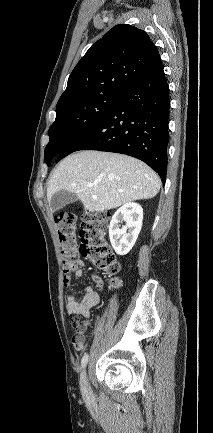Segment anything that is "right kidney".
Masks as SVG:
<instances>
[{
  "label": "right kidney",
  "instance_id": "right-kidney-1",
  "mask_svg": "<svg viewBox=\"0 0 213 433\" xmlns=\"http://www.w3.org/2000/svg\"><path fill=\"white\" fill-rule=\"evenodd\" d=\"M143 209L137 203H126L112 216L109 225V237L113 249L118 255H126L134 246L142 227ZM125 226L120 228V223Z\"/></svg>",
  "mask_w": 213,
  "mask_h": 433
}]
</instances>
